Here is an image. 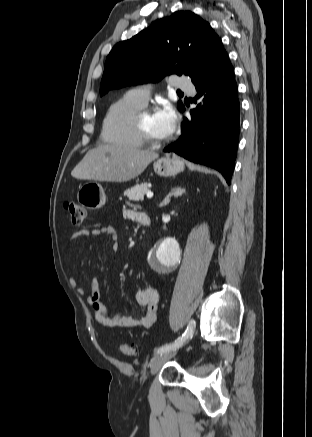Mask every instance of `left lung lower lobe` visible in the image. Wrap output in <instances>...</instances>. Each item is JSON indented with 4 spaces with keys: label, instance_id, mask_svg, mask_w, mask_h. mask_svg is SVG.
I'll use <instances>...</instances> for the list:
<instances>
[{
    "label": "left lung lower lobe",
    "instance_id": "obj_1",
    "mask_svg": "<svg viewBox=\"0 0 312 437\" xmlns=\"http://www.w3.org/2000/svg\"><path fill=\"white\" fill-rule=\"evenodd\" d=\"M194 85L196 97L204 96L203 102L190 111L191 119L185 118L181 137L164 151L211 166L230 184L237 155L240 104L234 71L225 50Z\"/></svg>",
    "mask_w": 312,
    "mask_h": 437
}]
</instances>
